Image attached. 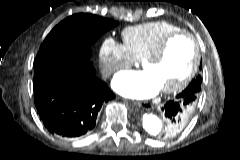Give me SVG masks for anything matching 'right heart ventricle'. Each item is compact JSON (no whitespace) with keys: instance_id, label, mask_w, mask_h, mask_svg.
Returning <instances> with one entry per match:
<instances>
[{"instance_id":"1","label":"right heart ventricle","mask_w":240,"mask_h":160,"mask_svg":"<svg viewBox=\"0 0 240 160\" xmlns=\"http://www.w3.org/2000/svg\"><path fill=\"white\" fill-rule=\"evenodd\" d=\"M180 30L181 28L172 23L155 21L125 28L122 39L131 58L141 60L150 54L165 36Z\"/></svg>"}]
</instances>
